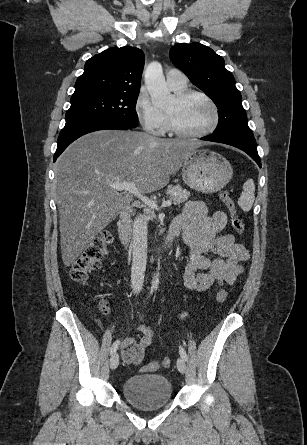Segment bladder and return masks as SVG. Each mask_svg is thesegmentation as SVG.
I'll return each instance as SVG.
<instances>
[{
    "label": "bladder",
    "mask_w": 307,
    "mask_h": 445,
    "mask_svg": "<svg viewBox=\"0 0 307 445\" xmlns=\"http://www.w3.org/2000/svg\"><path fill=\"white\" fill-rule=\"evenodd\" d=\"M172 384L161 374L147 373L127 378L122 394L127 402L141 410H156L168 405L172 399Z\"/></svg>",
    "instance_id": "obj_1"
}]
</instances>
